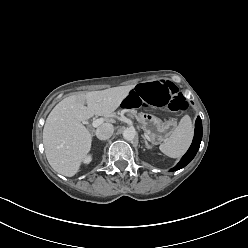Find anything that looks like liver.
<instances>
[{"instance_id":"obj_1","label":"liver","mask_w":248,"mask_h":248,"mask_svg":"<svg viewBox=\"0 0 248 248\" xmlns=\"http://www.w3.org/2000/svg\"><path fill=\"white\" fill-rule=\"evenodd\" d=\"M133 88L128 85L86 94L77 92L53 108L44 125L43 144L47 160L56 172L67 177L78 173L92 144V134L82 122L94 115L108 118Z\"/></svg>"}]
</instances>
